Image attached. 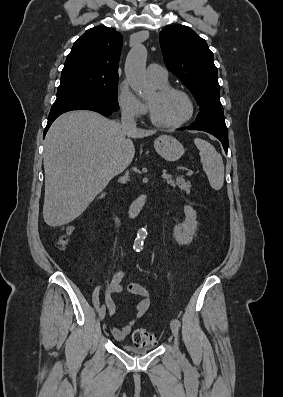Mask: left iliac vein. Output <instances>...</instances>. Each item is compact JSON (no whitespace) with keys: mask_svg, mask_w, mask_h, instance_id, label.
Here are the masks:
<instances>
[{"mask_svg":"<svg viewBox=\"0 0 283 397\" xmlns=\"http://www.w3.org/2000/svg\"><path fill=\"white\" fill-rule=\"evenodd\" d=\"M170 328H171V331H172V333H173V335L175 337V351H176V354H177V356H180L181 353H180L179 346H178V326L176 325L175 320L171 321Z\"/></svg>","mask_w":283,"mask_h":397,"instance_id":"4c4485c4","label":"left iliac vein"}]
</instances>
